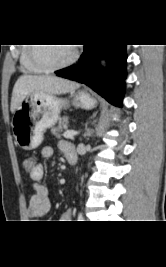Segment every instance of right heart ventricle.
I'll use <instances>...</instances> for the list:
<instances>
[{
    "mask_svg": "<svg viewBox=\"0 0 166 267\" xmlns=\"http://www.w3.org/2000/svg\"><path fill=\"white\" fill-rule=\"evenodd\" d=\"M20 65L29 73H44L45 70L36 65L31 58V46H23L20 51Z\"/></svg>",
    "mask_w": 166,
    "mask_h": 267,
    "instance_id": "right-heart-ventricle-1",
    "label": "right heart ventricle"
}]
</instances>
